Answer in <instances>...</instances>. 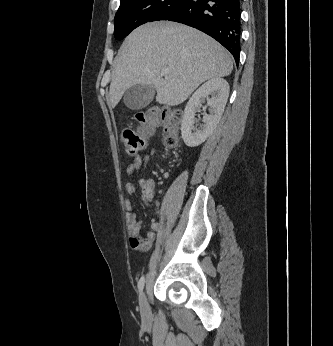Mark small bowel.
<instances>
[{
    "instance_id": "obj_1",
    "label": "small bowel",
    "mask_w": 333,
    "mask_h": 346,
    "mask_svg": "<svg viewBox=\"0 0 333 346\" xmlns=\"http://www.w3.org/2000/svg\"><path fill=\"white\" fill-rule=\"evenodd\" d=\"M155 151L152 150L150 153L143 156L136 155L132 163L127 166L126 173L128 176L132 177L136 175L141 169H146L155 156ZM140 186L142 187L143 195L142 200L146 204L153 202L154 198V184L153 182L145 179H140ZM136 186L132 182L126 184V192L133 196L136 194ZM125 208L128 211L126 217L127 230L130 235V239L127 240V245L134 250L135 254H148L151 245L153 244L156 233L159 229V224L155 220L151 225V230L146 234L145 237L141 235V223L137 219L135 213L133 212V203L130 200L125 201Z\"/></svg>"
}]
</instances>
